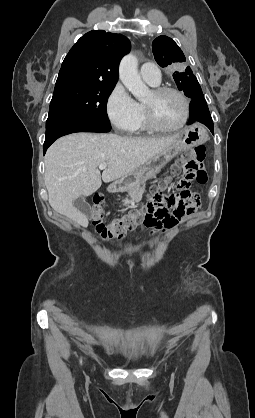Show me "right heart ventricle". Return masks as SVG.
<instances>
[{"label":"right heart ventricle","mask_w":255,"mask_h":418,"mask_svg":"<svg viewBox=\"0 0 255 418\" xmlns=\"http://www.w3.org/2000/svg\"><path fill=\"white\" fill-rule=\"evenodd\" d=\"M152 86H156V85H152ZM139 106H140V119L138 121L137 126L135 127L133 131H144L148 129L146 119H145L144 107L142 104H139Z\"/></svg>","instance_id":"e07e8e85"}]
</instances>
